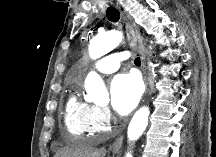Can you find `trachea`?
Segmentation results:
<instances>
[{"label":"trachea","instance_id":"1","mask_svg":"<svg viewBox=\"0 0 216 157\" xmlns=\"http://www.w3.org/2000/svg\"><path fill=\"white\" fill-rule=\"evenodd\" d=\"M106 16H107V18H108V20H110L111 22H114V23H116V22H118L119 21V19H120V12H119V10L118 9H116L115 7H109L108 9H107V11H106ZM134 63H135V65H140L141 64V61H140V58L138 57V58H136L135 60H134Z\"/></svg>","mask_w":216,"mask_h":157}]
</instances>
